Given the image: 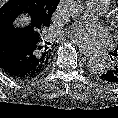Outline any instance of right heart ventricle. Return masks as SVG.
Masks as SVG:
<instances>
[{
	"label": "right heart ventricle",
	"instance_id": "obj_1",
	"mask_svg": "<svg viewBox=\"0 0 118 118\" xmlns=\"http://www.w3.org/2000/svg\"><path fill=\"white\" fill-rule=\"evenodd\" d=\"M98 2L102 3L105 7V9H107L110 5V0H97Z\"/></svg>",
	"mask_w": 118,
	"mask_h": 118
}]
</instances>
